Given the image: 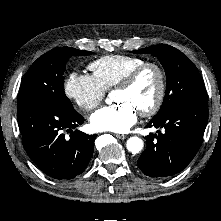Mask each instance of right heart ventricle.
<instances>
[{"instance_id": "obj_1", "label": "right heart ventricle", "mask_w": 221, "mask_h": 221, "mask_svg": "<svg viewBox=\"0 0 221 221\" xmlns=\"http://www.w3.org/2000/svg\"><path fill=\"white\" fill-rule=\"evenodd\" d=\"M142 58L129 55H106L89 65L92 76L105 90L112 89L134 68L143 64Z\"/></svg>"}]
</instances>
